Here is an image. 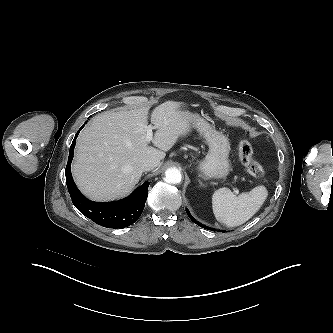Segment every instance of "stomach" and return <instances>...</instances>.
<instances>
[{
  "instance_id": "stomach-1",
  "label": "stomach",
  "mask_w": 333,
  "mask_h": 333,
  "mask_svg": "<svg viewBox=\"0 0 333 333\" xmlns=\"http://www.w3.org/2000/svg\"><path fill=\"white\" fill-rule=\"evenodd\" d=\"M182 113L189 116L190 123L205 138L209 146L205 159L198 163L200 175L205 179H221L227 176L230 171L229 152L231 150L228 137L217 131L198 114L187 110H183Z\"/></svg>"
}]
</instances>
